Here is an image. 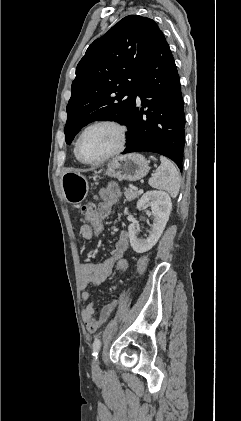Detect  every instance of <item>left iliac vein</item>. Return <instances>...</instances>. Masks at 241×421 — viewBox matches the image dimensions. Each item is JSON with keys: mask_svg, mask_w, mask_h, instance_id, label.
Returning a JSON list of instances; mask_svg holds the SVG:
<instances>
[{"mask_svg": "<svg viewBox=\"0 0 241 421\" xmlns=\"http://www.w3.org/2000/svg\"><path fill=\"white\" fill-rule=\"evenodd\" d=\"M99 370H100V362L98 358H95L92 362V371L94 373H97L99 372Z\"/></svg>", "mask_w": 241, "mask_h": 421, "instance_id": "left-iliac-vein-1", "label": "left iliac vein"}]
</instances>
